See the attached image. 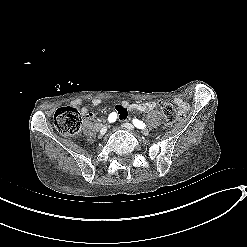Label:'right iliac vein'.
Wrapping results in <instances>:
<instances>
[{
	"label": "right iliac vein",
	"instance_id": "1",
	"mask_svg": "<svg viewBox=\"0 0 247 247\" xmlns=\"http://www.w3.org/2000/svg\"><path fill=\"white\" fill-rule=\"evenodd\" d=\"M107 131V127L106 126H103L101 129H100V135H104Z\"/></svg>",
	"mask_w": 247,
	"mask_h": 247
}]
</instances>
